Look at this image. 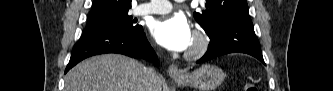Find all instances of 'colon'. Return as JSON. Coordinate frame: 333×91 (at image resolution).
<instances>
[{"mask_svg": "<svg viewBox=\"0 0 333 91\" xmlns=\"http://www.w3.org/2000/svg\"><path fill=\"white\" fill-rule=\"evenodd\" d=\"M244 91H258V88L253 83L246 84Z\"/></svg>", "mask_w": 333, "mask_h": 91, "instance_id": "obj_1", "label": "colon"}]
</instances>
